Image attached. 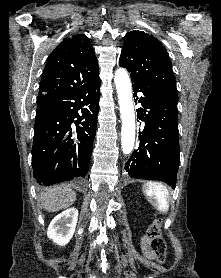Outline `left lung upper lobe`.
Masks as SVG:
<instances>
[{
    "label": "left lung upper lobe",
    "mask_w": 221,
    "mask_h": 278,
    "mask_svg": "<svg viewBox=\"0 0 221 278\" xmlns=\"http://www.w3.org/2000/svg\"><path fill=\"white\" fill-rule=\"evenodd\" d=\"M119 65L137 81L177 99V89L171 61L162 43L152 35L139 30L128 32L119 59Z\"/></svg>",
    "instance_id": "5c2ea615"
}]
</instances>
